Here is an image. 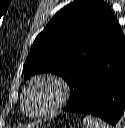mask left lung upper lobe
Returning a JSON list of instances; mask_svg holds the SVG:
<instances>
[{"label": "left lung upper lobe", "mask_w": 125, "mask_h": 128, "mask_svg": "<svg viewBox=\"0 0 125 128\" xmlns=\"http://www.w3.org/2000/svg\"><path fill=\"white\" fill-rule=\"evenodd\" d=\"M123 35L102 0H75L62 8L36 37L23 66L24 78L43 72L62 76L73 103L91 69Z\"/></svg>", "instance_id": "5c2ea615"}]
</instances>
